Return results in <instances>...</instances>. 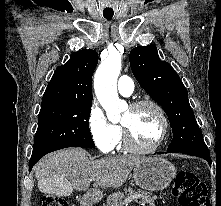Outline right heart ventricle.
<instances>
[{
    "mask_svg": "<svg viewBox=\"0 0 221 206\" xmlns=\"http://www.w3.org/2000/svg\"><path fill=\"white\" fill-rule=\"evenodd\" d=\"M116 146L118 147L119 150L125 149L121 130H120V134H119V138L117 140Z\"/></svg>",
    "mask_w": 221,
    "mask_h": 206,
    "instance_id": "1",
    "label": "right heart ventricle"
}]
</instances>
